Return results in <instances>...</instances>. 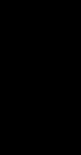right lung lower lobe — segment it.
<instances>
[{
    "instance_id": "obj_1",
    "label": "right lung lower lobe",
    "mask_w": 81,
    "mask_h": 155,
    "mask_svg": "<svg viewBox=\"0 0 81 155\" xmlns=\"http://www.w3.org/2000/svg\"><path fill=\"white\" fill-rule=\"evenodd\" d=\"M27 111H29V110H27ZM27 111L24 110V111L21 112L20 114H18V115H16V116L12 117L10 120L7 121V125H8V126L16 125V124L20 121V119L23 117V115H24L25 113H27Z\"/></svg>"
}]
</instances>
